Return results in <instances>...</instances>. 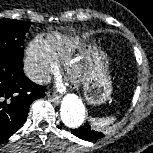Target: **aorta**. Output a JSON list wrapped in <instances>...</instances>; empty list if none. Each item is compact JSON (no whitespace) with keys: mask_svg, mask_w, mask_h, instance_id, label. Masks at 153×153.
<instances>
[{"mask_svg":"<svg viewBox=\"0 0 153 153\" xmlns=\"http://www.w3.org/2000/svg\"><path fill=\"white\" fill-rule=\"evenodd\" d=\"M60 116L62 122L70 128L82 125L86 116L82 101L74 94L66 95L60 106Z\"/></svg>","mask_w":153,"mask_h":153,"instance_id":"aorta-1","label":"aorta"}]
</instances>
